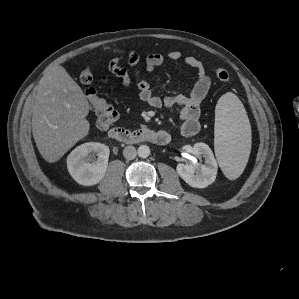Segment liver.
<instances>
[{"mask_svg": "<svg viewBox=\"0 0 299 299\" xmlns=\"http://www.w3.org/2000/svg\"><path fill=\"white\" fill-rule=\"evenodd\" d=\"M89 103L80 86L62 66L47 68L41 78L32 115V133L41 156L58 161L88 135Z\"/></svg>", "mask_w": 299, "mask_h": 299, "instance_id": "1", "label": "liver"}]
</instances>
